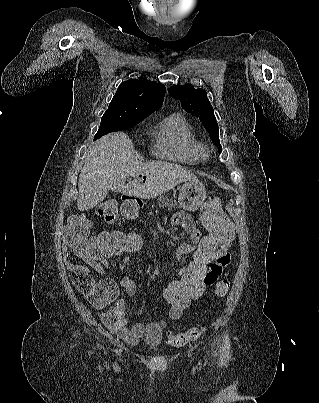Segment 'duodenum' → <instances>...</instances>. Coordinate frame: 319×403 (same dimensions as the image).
Returning a JSON list of instances; mask_svg holds the SVG:
<instances>
[{"label": "duodenum", "instance_id": "duodenum-1", "mask_svg": "<svg viewBox=\"0 0 319 403\" xmlns=\"http://www.w3.org/2000/svg\"><path fill=\"white\" fill-rule=\"evenodd\" d=\"M122 212L124 216L131 217L134 212L139 208L140 202L133 197L123 196Z\"/></svg>", "mask_w": 319, "mask_h": 403}]
</instances>
